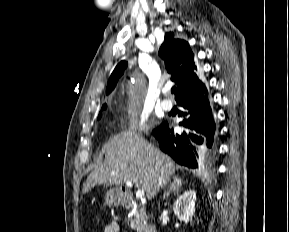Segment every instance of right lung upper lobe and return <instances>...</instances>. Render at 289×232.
I'll return each instance as SVG.
<instances>
[{
  "label": "right lung upper lobe",
  "mask_w": 289,
  "mask_h": 232,
  "mask_svg": "<svg viewBox=\"0 0 289 232\" xmlns=\"http://www.w3.org/2000/svg\"><path fill=\"white\" fill-rule=\"evenodd\" d=\"M159 55L165 61L168 73L172 74V80L177 84L175 94L177 102L186 96L207 91L205 83L198 74L197 66L194 63V54L188 42L175 39L173 33H166ZM126 67L127 63L125 61H121L115 67L109 78L106 94L114 89L118 78L123 74V69Z\"/></svg>",
  "instance_id": "obj_1"
}]
</instances>
